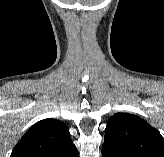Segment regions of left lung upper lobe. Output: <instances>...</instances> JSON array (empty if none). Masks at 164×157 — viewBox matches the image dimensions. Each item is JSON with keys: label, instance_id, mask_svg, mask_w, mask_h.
I'll return each instance as SVG.
<instances>
[{"label": "left lung upper lobe", "instance_id": "left-lung-upper-lobe-1", "mask_svg": "<svg viewBox=\"0 0 164 157\" xmlns=\"http://www.w3.org/2000/svg\"><path fill=\"white\" fill-rule=\"evenodd\" d=\"M104 141L127 157H164L159 131L133 114H114L108 120Z\"/></svg>", "mask_w": 164, "mask_h": 157}]
</instances>
